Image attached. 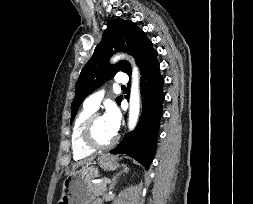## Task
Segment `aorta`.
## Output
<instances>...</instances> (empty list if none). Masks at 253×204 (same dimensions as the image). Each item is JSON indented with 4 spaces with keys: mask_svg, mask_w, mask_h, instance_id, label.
Returning <instances> with one entry per match:
<instances>
[{
    "mask_svg": "<svg viewBox=\"0 0 253 204\" xmlns=\"http://www.w3.org/2000/svg\"><path fill=\"white\" fill-rule=\"evenodd\" d=\"M121 57H124V55L115 56L114 58H112V62H117ZM131 63L133 65V70L128 121V126L130 130H132L136 126L140 111L139 70L133 60H131Z\"/></svg>",
    "mask_w": 253,
    "mask_h": 204,
    "instance_id": "1",
    "label": "aorta"
}]
</instances>
